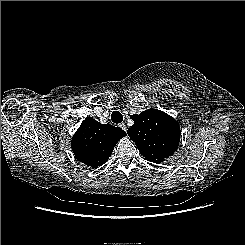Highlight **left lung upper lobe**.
Returning <instances> with one entry per match:
<instances>
[{"mask_svg":"<svg viewBox=\"0 0 245 245\" xmlns=\"http://www.w3.org/2000/svg\"><path fill=\"white\" fill-rule=\"evenodd\" d=\"M131 118L134 125L128 128V136L147 160L161 163L173 155L180 141V126L173 117L148 109Z\"/></svg>","mask_w":245,"mask_h":245,"instance_id":"5c2ea615","label":"left lung upper lobe"}]
</instances>
